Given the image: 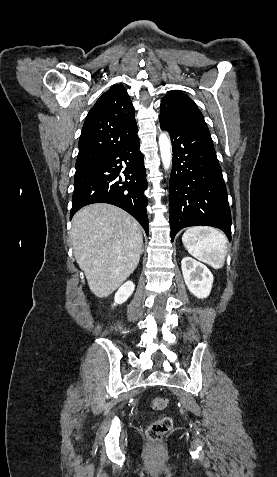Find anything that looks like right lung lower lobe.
I'll return each instance as SVG.
<instances>
[{"label":"right lung lower lobe","mask_w":277,"mask_h":477,"mask_svg":"<svg viewBox=\"0 0 277 477\" xmlns=\"http://www.w3.org/2000/svg\"><path fill=\"white\" fill-rule=\"evenodd\" d=\"M126 165L123 176L120 170ZM146 169L136 135L125 144L76 168L70 218L83 206L109 203L130 213L148 235Z\"/></svg>","instance_id":"right-lung-lower-lobe-1"}]
</instances>
